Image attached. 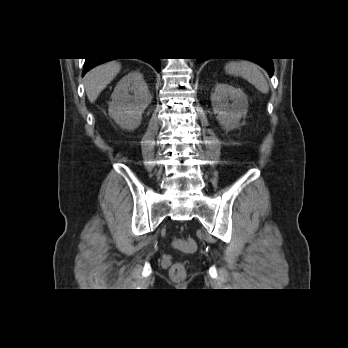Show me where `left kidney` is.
<instances>
[{
    "mask_svg": "<svg viewBox=\"0 0 348 348\" xmlns=\"http://www.w3.org/2000/svg\"><path fill=\"white\" fill-rule=\"evenodd\" d=\"M211 104L219 124L226 130L236 128L248 109L245 93L228 84H216L211 94Z\"/></svg>",
    "mask_w": 348,
    "mask_h": 348,
    "instance_id": "left-kidney-1",
    "label": "left kidney"
}]
</instances>
